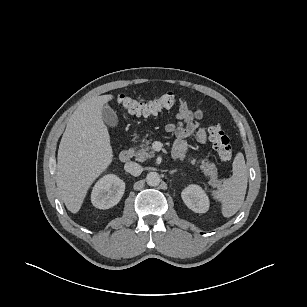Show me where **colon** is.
Masks as SVG:
<instances>
[{
  "label": "colon",
  "mask_w": 307,
  "mask_h": 307,
  "mask_svg": "<svg viewBox=\"0 0 307 307\" xmlns=\"http://www.w3.org/2000/svg\"><path fill=\"white\" fill-rule=\"evenodd\" d=\"M178 101V96L170 92L147 101H139L128 95H120L118 97L119 104L126 111L144 116L158 114L164 109L174 106ZM208 132L210 141L219 158L225 163L231 162L233 158L232 145L221 126H212L209 128Z\"/></svg>",
  "instance_id": "1"
}]
</instances>
